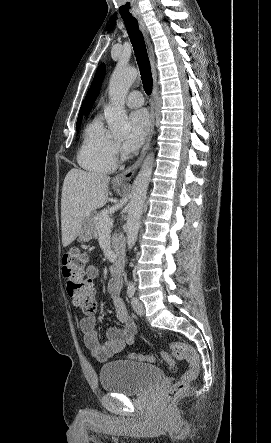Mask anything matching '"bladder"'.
<instances>
[{
    "instance_id": "31cf9c89",
    "label": "bladder",
    "mask_w": 271,
    "mask_h": 443,
    "mask_svg": "<svg viewBox=\"0 0 271 443\" xmlns=\"http://www.w3.org/2000/svg\"><path fill=\"white\" fill-rule=\"evenodd\" d=\"M163 371L153 365L131 360H114L100 368L101 387L115 394L132 395L142 393L160 383Z\"/></svg>"
}]
</instances>
